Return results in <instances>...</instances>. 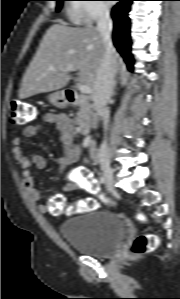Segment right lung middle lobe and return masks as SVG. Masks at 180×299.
I'll return each instance as SVG.
<instances>
[{"label": "right lung middle lobe", "mask_w": 180, "mask_h": 299, "mask_svg": "<svg viewBox=\"0 0 180 299\" xmlns=\"http://www.w3.org/2000/svg\"><path fill=\"white\" fill-rule=\"evenodd\" d=\"M56 1H59L58 2V4H57V7H56V11H60V9H61V3H62V1H64V0H56Z\"/></svg>", "instance_id": "right-lung-middle-lobe-1"}]
</instances>
